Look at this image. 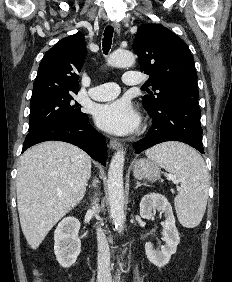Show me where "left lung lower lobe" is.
<instances>
[{"label": "left lung lower lobe", "instance_id": "1", "mask_svg": "<svg viewBox=\"0 0 232 282\" xmlns=\"http://www.w3.org/2000/svg\"><path fill=\"white\" fill-rule=\"evenodd\" d=\"M144 108L152 118V127L134 145L136 154L166 141H180L204 152L198 97L174 96L159 108Z\"/></svg>", "mask_w": 232, "mask_h": 282}]
</instances>
